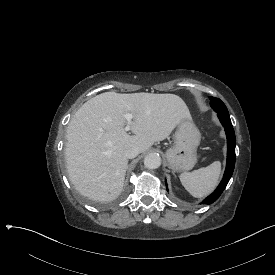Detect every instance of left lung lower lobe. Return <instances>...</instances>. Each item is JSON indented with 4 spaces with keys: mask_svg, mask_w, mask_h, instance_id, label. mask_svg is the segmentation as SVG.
Masks as SVG:
<instances>
[{
    "mask_svg": "<svg viewBox=\"0 0 275 275\" xmlns=\"http://www.w3.org/2000/svg\"><path fill=\"white\" fill-rule=\"evenodd\" d=\"M219 120L221 121L222 125L224 126V129L226 131L227 136V164L225 173L223 176L222 181L220 182L219 186L216 188V190L209 195L205 200L202 201V204H211L215 202L224 189L226 188L234 170L235 166V133L234 129L231 124L230 116L229 114H223V113H217ZM166 189L168 190L167 182L165 181Z\"/></svg>",
    "mask_w": 275,
    "mask_h": 275,
    "instance_id": "0a47b994",
    "label": "left lung lower lobe"
}]
</instances>
